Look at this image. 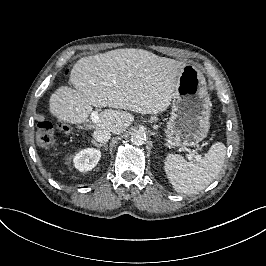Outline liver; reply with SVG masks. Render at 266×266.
<instances>
[{
    "mask_svg": "<svg viewBox=\"0 0 266 266\" xmlns=\"http://www.w3.org/2000/svg\"><path fill=\"white\" fill-rule=\"evenodd\" d=\"M183 62L159 57L143 49H115L79 59L70 72L68 86L59 87L50 97V113L60 121L84 123L92 106L114 108L99 113L94 128L119 135L134 116L157 114L170 105Z\"/></svg>",
    "mask_w": 266,
    "mask_h": 266,
    "instance_id": "1",
    "label": "liver"
}]
</instances>
